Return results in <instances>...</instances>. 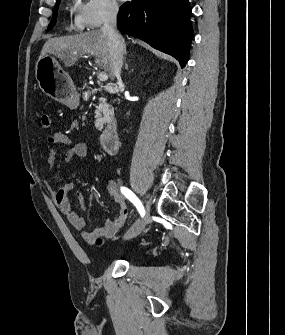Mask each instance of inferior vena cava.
I'll use <instances>...</instances> for the list:
<instances>
[{
  "label": "inferior vena cava",
  "instance_id": "1",
  "mask_svg": "<svg viewBox=\"0 0 285 335\" xmlns=\"http://www.w3.org/2000/svg\"><path fill=\"white\" fill-rule=\"evenodd\" d=\"M118 4L116 0H106V14L103 20L101 32L107 34L110 42L112 54V66L115 76H120L123 58L126 54L124 40L116 30V18L118 14Z\"/></svg>",
  "mask_w": 285,
  "mask_h": 335
}]
</instances>
